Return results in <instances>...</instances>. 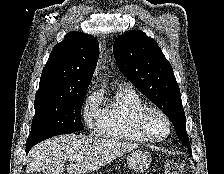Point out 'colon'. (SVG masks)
<instances>
[{
    "mask_svg": "<svg viewBox=\"0 0 224 174\" xmlns=\"http://www.w3.org/2000/svg\"><path fill=\"white\" fill-rule=\"evenodd\" d=\"M185 167L180 161L169 160L165 163V174H184Z\"/></svg>",
    "mask_w": 224,
    "mask_h": 174,
    "instance_id": "obj_1",
    "label": "colon"
}]
</instances>
